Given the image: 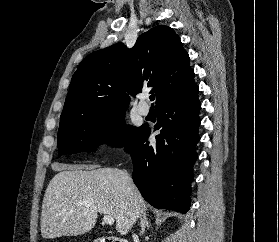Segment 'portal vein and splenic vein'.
I'll return each mask as SVG.
<instances>
[{"instance_id":"portal-vein-and-splenic-vein-1","label":"portal vein and splenic vein","mask_w":279,"mask_h":242,"mask_svg":"<svg viewBox=\"0 0 279 242\" xmlns=\"http://www.w3.org/2000/svg\"><path fill=\"white\" fill-rule=\"evenodd\" d=\"M103 222L105 223V224H107V225H113L114 224V222H115V220H114V218L112 217V216H110V215H104L103 216Z\"/></svg>"}]
</instances>
